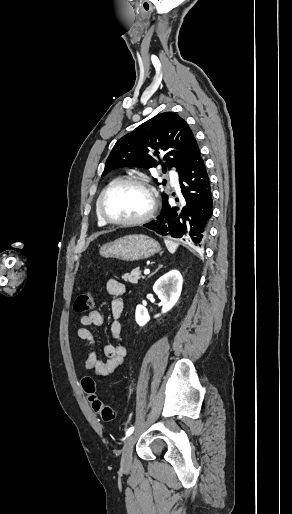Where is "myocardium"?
<instances>
[{
    "label": "myocardium",
    "instance_id": "1",
    "mask_svg": "<svg viewBox=\"0 0 292 514\" xmlns=\"http://www.w3.org/2000/svg\"><path fill=\"white\" fill-rule=\"evenodd\" d=\"M124 184L136 185V186L140 187L141 189H143L148 196L149 207H148V210L146 211V213L140 217L130 219V220H115V219H112L111 217H109L104 212L103 202H104L105 196L112 188L119 186V185H124ZM155 209H156V199H155L154 193L152 192L151 188L148 186V184L143 179H140L137 177H123V178H119V179L112 181L110 184H108L102 190V192L100 193V195L98 197V202H97V210H98L99 216L106 223L119 225V226H133V225H138V224L144 223L153 216Z\"/></svg>",
    "mask_w": 292,
    "mask_h": 514
}]
</instances>
